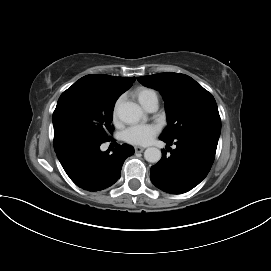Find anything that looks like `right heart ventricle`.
<instances>
[{"instance_id": "e07e8e85", "label": "right heart ventricle", "mask_w": 271, "mask_h": 271, "mask_svg": "<svg viewBox=\"0 0 271 271\" xmlns=\"http://www.w3.org/2000/svg\"><path fill=\"white\" fill-rule=\"evenodd\" d=\"M155 95V92L148 88H140L136 91L138 101L145 108L148 106Z\"/></svg>"}]
</instances>
